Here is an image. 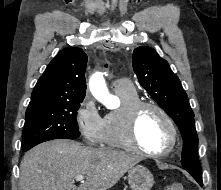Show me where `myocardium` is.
Returning a JSON list of instances; mask_svg holds the SVG:
<instances>
[{
    "label": "myocardium",
    "instance_id": "f54148a6",
    "mask_svg": "<svg viewBox=\"0 0 221 190\" xmlns=\"http://www.w3.org/2000/svg\"><path fill=\"white\" fill-rule=\"evenodd\" d=\"M145 108H152L156 110L168 124L170 130V142L166 148L160 151H152L145 149L138 143L136 136L137 121L139 114ZM123 136L125 143L130 150L150 157L165 156L171 153L175 149L178 143V130L174 120L163 107L152 101L140 100L127 107L124 113V120H123Z\"/></svg>",
    "mask_w": 221,
    "mask_h": 190
}]
</instances>
